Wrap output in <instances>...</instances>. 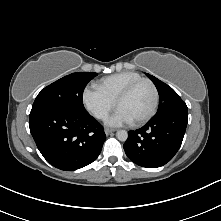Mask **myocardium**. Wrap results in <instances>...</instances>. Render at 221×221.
<instances>
[{
    "mask_svg": "<svg viewBox=\"0 0 221 221\" xmlns=\"http://www.w3.org/2000/svg\"><path fill=\"white\" fill-rule=\"evenodd\" d=\"M142 83H148L153 89L154 92V101L151 110L146 114L144 117H142L139 120L132 121V124L135 126H140L148 122L156 113L158 104H159V91L155 83L148 79V78H141L139 80H136L132 82L130 85H128L117 97L116 99V106L119 107L120 103L125 100L140 84Z\"/></svg>",
    "mask_w": 221,
    "mask_h": 221,
    "instance_id": "f54148a6",
    "label": "myocardium"
}]
</instances>
